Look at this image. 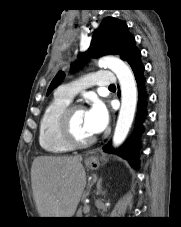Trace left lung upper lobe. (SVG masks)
<instances>
[{
	"mask_svg": "<svg viewBox=\"0 0 181 227\" xmlns=\"http://www.w3.org/2000/svg\"><path fill=\"white\" fill-rule=\"evenodd\" d=\"M135 46V38L128 31L126 23L113 18L106 17L102 20L100 27L93 35L89 49L79 54V61L74 63L75 67H80L90 57H100L106 54L120 55L125 60L128 52ZM65 78V73L59 71L52 80L47 95L56 88Z\"/></svg>",
	"mask_w": 181,
	"mask_h": 227,
	"instance_id": "obj_1",
	"label": "left lung upper lobe"
}]
</instances>
